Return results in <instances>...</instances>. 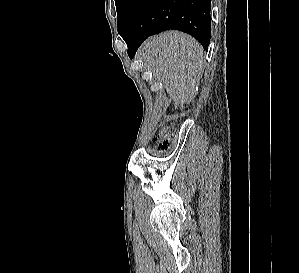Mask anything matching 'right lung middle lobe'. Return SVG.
Masks as SVG:
<instances>
[{
  "mask_svg": "<svg viewBox=\"0 0 299 273\" xmlns=\"http://www.w3.org/2000/svg\"><path fill=\"white\" fill-rule=\"evenodd\" d=\"M134 0H115L118 20V32L121 31L127 14Z\"/></svg>",
  "mask_w": 299,
  "mask_h": 273,
  "instance_id": "obj_1",
  "label": "right lung middle lobe"
}]
</instances>
